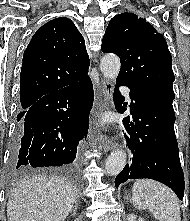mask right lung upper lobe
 Here are the masks:
<instances>
[{
  "instance_id": "obj_1",
  "label": "right lung upper lobe",
  "mask_w": 190,
  "mask_h": 221,
  "mask_svg": "<svg viewBox=\"0 0 190 221\" xmlns=\"http://www.w3.org/2000/svg\"><path fill=\"white\" fill-rule=\"evenodd\" d=\"M89 56L84 38L65 17L47 22L33 35L20 74V107L73 85L88 75Z\"/></svg>"
}]
</instances>
